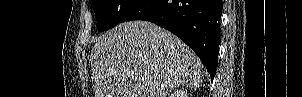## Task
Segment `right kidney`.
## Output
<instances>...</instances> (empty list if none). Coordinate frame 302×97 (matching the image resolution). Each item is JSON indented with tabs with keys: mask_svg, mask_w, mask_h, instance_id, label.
Here are the masks:
<instances>
[{
	"mask_svg": "<svg viewBox=\"0 0 302 97\" xmlns=\"http://www.w3.org/2000/svg\"><path fill=\"white\" fill-rule=\"evenodd\" d=\"M170 97H188V94L186 91L184 90H177V91H174Z\"/></svg>",
	"mask_w": 302,
	"mask_h": 97,
	"instance_id": "obj_1",
	"label": "right kidney"
}]
</instances>
